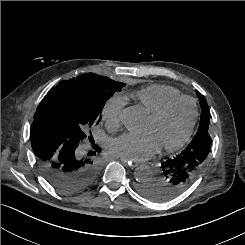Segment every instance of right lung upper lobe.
<instances>
[{"instance_id": "cb5924a9", "label": "right lung upper lobe", "mask_w": 245, "mask_h": 245, "mask_svg": "<svg viewBox=\"0 0 245 245\" xmlns=\"http://www.w3.org/2000/svg\"><path fill=\"white\" fill-rule=\"evenodd\" d=\"M40 105V104H39ZM39 108H40V106H38V108H37V110H36V113H35V116H34V120L35 119H38V118H41L40 116H39Z\"/></svg>"}]
</instances>
